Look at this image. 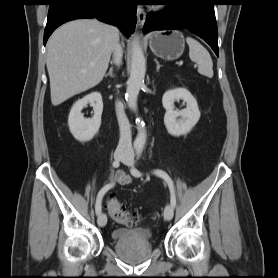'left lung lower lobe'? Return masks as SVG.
Instances as JSON below:
<instances>
[{
    "label": "left lung lower lobe",
    "instance_id": "1",
    "mask_svg": "<svg viewBox=\"0 0 278 278\" xmlns=\"http://www.w3.org/2000/svg\"><path fill=\"white\" fill-rule=\"evenodd\" d=\"M165 10L147 15L143 32L187 28L204 39L219 56L214 13L216 0H162Z\"/></svg>",
    "mask_w": 278,
    "mask_h": 278
}]
</instances>
